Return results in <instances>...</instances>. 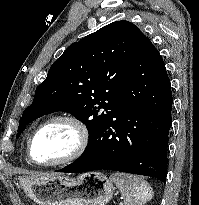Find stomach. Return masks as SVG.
Returning a JSON list of instances; mask_svg holds the SVG:
<instances>
[{
    "label": "stomach",
    "instance_id": "0dacf381",
    "mask_svg": "<svg viewBox=\"0 0 199 205\" xmlns=\"http://www.w3.org/2000/svg\"><path fill=\"white\" fill-rule=\"evenodd\" d=\"M20 184L38 205H105L115 191L112 181L101 172H88L76 178L21 177Z\"/></svg>",
    "mask_w": 199,
    "mask_h": 205
}]
</instances>
